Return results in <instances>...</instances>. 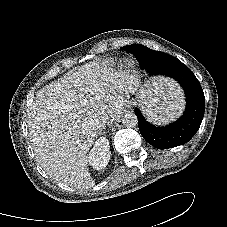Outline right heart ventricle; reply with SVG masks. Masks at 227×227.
Segmentation results:
<instances>
[{"label":"right heart ventricle","instance_id":"right-heart-ventricle-1","mask_svg":"<svg viewBox=\"0 0 227 227\" xmlns=\"http://www.w3.org/2000/svg\"><path fill=\"white\" fill-rule=\"evenodd\" d=\"M110 63H111V64H114L115 62H114V60H111Z\"/></svg>","mask_w":227,"mask_h":227}]
</instances>
